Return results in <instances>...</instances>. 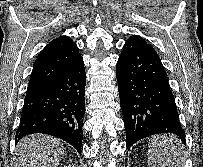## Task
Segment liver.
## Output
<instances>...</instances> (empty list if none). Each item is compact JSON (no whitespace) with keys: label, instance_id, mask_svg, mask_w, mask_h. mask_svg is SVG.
Returning a JSON list of instances; mask_svg holds the SVG:
<instances>
[{"label":"liver","instance_id":"6515ba94","mask_svg":"<svg viewBox=\"0 0 203 167\" xmlns=\"http://www.w3.org/2000/svg\"><path fill=\"white\" fill-rule=\"evenodd\" d=\"M16 167H57L64 156L59 140L34 134L20 140L15 150Z\"/></svg>","mask_w":203,"mask_h":167}]
</instances>
